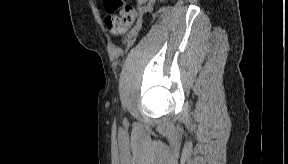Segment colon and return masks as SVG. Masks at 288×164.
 <instances>
[{
	"instance_id": "5ec220e1",
	"label": "colon",
	"mask_w": 288,
	"mask_h": 164,
	"mask_svg": "<svg viewBox=\"0 0 288 164\" xmlns=\"http://www.w3.org/2000/svg\"><path fill=\"white\" fill-rule=\"evenodd\" d=\"M106 3L109 11L113 13L105 18L107 32L112 36L124 35L134 23L136 9L122 0H109Z\"/></svg>"
}]
</instances>
